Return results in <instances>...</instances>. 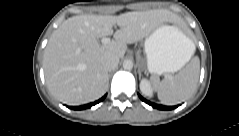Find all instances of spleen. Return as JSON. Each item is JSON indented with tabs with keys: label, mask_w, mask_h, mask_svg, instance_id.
Wrapping results in <instances>:
<instances>
[{
	"label": "spleen",
	"mask_w": 239,
	"mask_h": 136,
	"mask_svg": "<svg viewBox=\"0 0 239 136\" xmlns=\"http://www.w3.org/2000/svg\"><path fill=\"white\" fill-rule=\"evenodd\" d=\"M190 49L189 60L195 50L193 43ZM199 73L200 63L199 59L195 57L178 74L167 76L161 81L157 76H151V81L161 103L175 105L187 99L195 91Z\"/></svg>",
	"instance_id": "obj_1"
}]
</instances>
